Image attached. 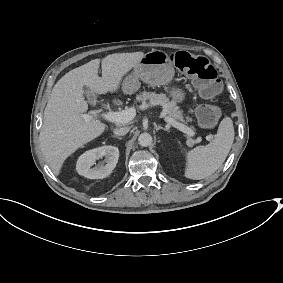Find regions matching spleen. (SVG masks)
I'll use <instances>...</instances> for the list:
<instances>
[{
  "label": "spleen",
  "instance_id": "obj_1",
  "mask_svg": "<svg viewBox=\"0 0 283 283\" xmlns=\"http://www.w3.org/2000/svg\"><path fill=\"white\" fill-rule=\"evenodd\" d=\"M233 121L225 117L217 134L206 146H197L187 153L185 176L200 180L212 175L225 161L234 141Z\"/></svg>",
  "mask_w": 283,
  "mask_h": 283
}]
</instances>
